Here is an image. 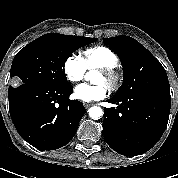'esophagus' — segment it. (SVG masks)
Instances as JSON below:
<instances>
[{
    "label": "esophagus",
    "mask_w": 178,
    "mask_h": 178,
    "mask_svg": "<svg viewBox=\"0 0 178 178\" xmlns=\"http://www.w3.org/2000/svg\"><path fill=\"white\" fill-rule=\"evenodd\" d=\"M83 105H84L85 108H88V107H90L92 104H91V103H84Z\"/></svg>",
    "instance_id": "obj_1"
}]
</instances>
